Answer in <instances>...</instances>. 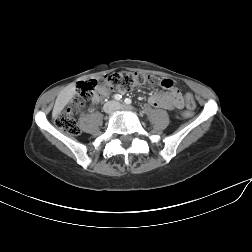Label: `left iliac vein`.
<instances>
[{"instance_id":"obj_1","label":"left iliac vein","mask_w":252,"mask_h":252,"mask_svg":"<svg viewBox=\"0 0 252 252\" xmlns=\"http://www.w3.org/2000/svg\"><path fill=\"white\" fill-rule=\"evenodd\" d=\"M116 109H118V110H126L128 108L125 105L121 104V103H116Z\"/></svg>"}]
</instances>
